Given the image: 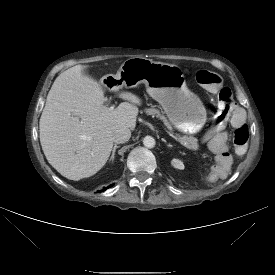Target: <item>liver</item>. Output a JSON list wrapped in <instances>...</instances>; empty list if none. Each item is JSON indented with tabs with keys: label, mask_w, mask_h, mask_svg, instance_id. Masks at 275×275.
I'll return each mask as SVG.
<instances>
[{
	"label": "liver",
	"mask_w": 275,
	"mask_h": 275,
	"mask_svg": "<svg viewBox=\"0 0 275 275\" xmlns=\"http://www.w3.org/2000/svg\"><path fill=\"white\" fill-rule=\"evenodd\" d=\"M87 68L76 65L56 78L39 122L46 159L62 176L76 181L106 164L114 132L135 129L142 103L137 95L121 92L125 102L110 109L104 105V88L85 74Z\"/></svg>",
	"instance_id": "obj_1"
}]
</instances>
